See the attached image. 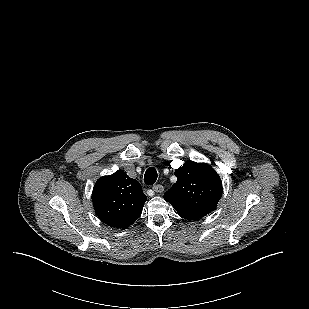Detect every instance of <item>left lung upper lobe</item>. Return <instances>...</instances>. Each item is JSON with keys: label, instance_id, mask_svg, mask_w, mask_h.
<instances>
[{"label": "left lung upper lobe", "instance_id": "1", "mask_svg": "<svg viewBox=\"0 0 309 309\" xmlns=\"http://www.w3.org/2000/svg\"><path fill=\"white\" fill-rule=\"evenodd\" d=\"M177 182L164 194L179 215L198 220L213 211L222 195V182L206 163L186 162L176 169Z\"/></svg>", "mask_w": 309, "mask_h": 309}]
</instances>
